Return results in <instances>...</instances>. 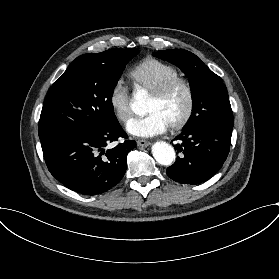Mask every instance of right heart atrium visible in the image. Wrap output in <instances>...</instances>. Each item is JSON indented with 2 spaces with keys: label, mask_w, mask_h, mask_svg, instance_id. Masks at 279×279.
<instances>
[{
  "label": "right heart atrium",
  "mask_w": 279,
  "mask_h": 279,
  "mask_svg": "<svg viewBox=\"0 0 279 279\" xmlns=\"http://www.w3.org/2000/svg\"><path fill=\"white\" fill-rule=\"evenodd\" d=\"M107 101L116 120L120 123L126 122L131 116L130 88L122 79L116 80L112 85Z\"/></svg>",
  "instance_id": "1"
}]
</instances>
